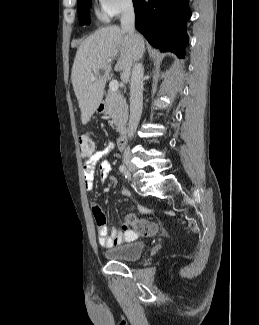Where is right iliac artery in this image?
<instances>
[{
	"label": "right iliac artery",
	"instance_id": "obj_1",
	"mask_svg": "<svg viewBox=\"0 0 259 325\" xmlns=\"http://www.w3.org/2000/svg\"><path fill=\"white\" fill-rule=\"evenodd\" d=\"M126 169H127V168H126L125 165H121V166L119 167L120 172H122L123 170H126Z\"/></svg>",
	"mask_w": 259,
	"mask_h": 325
}]
</instances>
